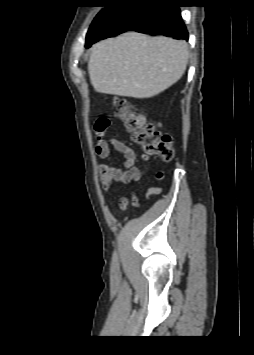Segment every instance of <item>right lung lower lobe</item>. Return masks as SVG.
I'll use <instances>...</instances> for the list:
<instances>
[{"mask_svg":"<svg viewBox=\"0 0 254 355\" xmlns=\"http://www.w3.org/2000/svg\"><path fill=\"white\" fill-rule=\"evenodd\" d=\"M178 6L175 0H138L119 4L98 35L86 43V47L126 31L188 40Z\"/></svg>","mask_w":254,"mask_h":355,"instance_id":"1","label":"right lung lower lobe"}]
</instances>
